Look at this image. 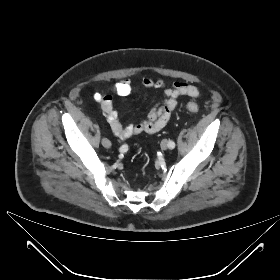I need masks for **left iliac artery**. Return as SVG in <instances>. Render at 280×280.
Returning a JSON list of instances; mask_svg holds the SVG:
<instances>
[{"mask_svg":"<svg viewBox=\"0 0 280 280\" xmlns=\"http://www.w3.org/2000/svg\"><path fill=\"white\" fill-rule=\"evenodd\" d=\"M168 147H169L170 149H174V148H175V143H174L173 141H169Z\"/></svg>","mask_w":280,"mask_h":280,"instance_id":"44dca946","label":"left iliac artery"}]
</instances>
